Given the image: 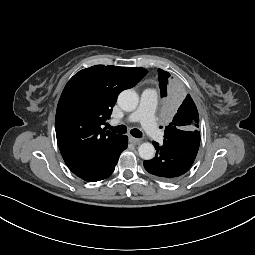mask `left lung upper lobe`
Returning <instances> with one entry per match:
<instances>
[{
    "label": "left lung upper lobe",
    "instance_id": "5c2ea615",
    "mask_svg": "<svg viewBox=\"0 0 255 255\" xmlns=\"http://www.w3.org/2000/svg\"><path fill=\"white\" fill-rule=\"evenodd\" d=\"M158 73L161 96H166L168 90L175 93L171 109V121L165 128L164 140L175 139L198 132L199 115L191 96L187 95L184 97L178 94L168 72L158 69Z\"/></svg>",
    "mask_w": 255,
    "mask_h": 255
}]
</instances>
